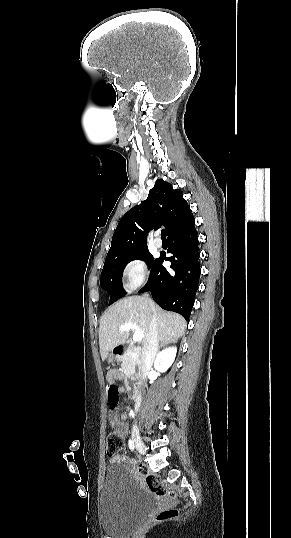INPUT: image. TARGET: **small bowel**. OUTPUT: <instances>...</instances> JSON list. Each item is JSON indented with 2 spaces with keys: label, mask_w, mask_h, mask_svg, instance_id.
I'll return each instance as SVG.
<instances>
[{
  "label": "small bowel",
  "mask_w": 291,
  "mask_h": 538,
  "mask_svg": "<svg viewBox=\"0 0 291 538\" xmlns=\"http://www.w3.org/2000/svg\"><path fill=\"white\" fill-rule=\"evenodd\" d=\"M122 378H123L122 374H120L116 370H113L108 374L107 381H108L109 385H116L117 386V384H116L117 380L122 379ZM118 390H119V393H123V391H124L123 388H119V387H118ZM126 418H127V415L124 414V413L119 415L116 412H112L109 415V419H110V422H111L112 426L114 427V430L122 438H124L126 436V434H127V426L123 422ZM110 462L111 463L122 462V463H125L128 466H131V461L129 460V458L126 455L112 456V457H110Z\"/></svg>",
  "instance_id": "obj_1"
}]
</instances>
